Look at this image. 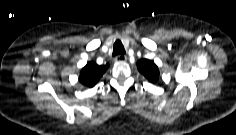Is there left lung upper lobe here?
<instances>
[{
	"label": "left lung upper lobe",
	"instance_id": "5c2ea615",
	"mask_svg": "<svg viewBox=\"0 0 236 135\" xmlns=\"http://www.w3.org/2000/svg\"><path fill=\"white\" fill-rule=\"evenodd\" d=\"M138 70L152 83L156 82L159 77L157 65L150 60L140 59L137 62Z\"/></svg>",
	"mask_w": 236,
	"mask_h": 135
}]
</instances>
